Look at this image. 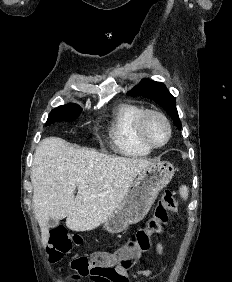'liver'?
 Here are the masks:
<instances>
[{
	"instance_id": "1",
	"label": "liver",
	"mask_w": 232,
	"mask_h": 282,
	"mask_svg": "<svg viewBox=\"0 0 232 282\" xmlns=\"http://www.w3.org/2000/svg\"><path fill=\"white\" fill-rule=\"evenodd\" d=\"M152 163L73 148L58 137L42 140L31 168L34 211L42 243L49 240L50 218H66V226L77 232L104 223L123 201L136 176Z\"/></svg>"
}]
</instances>
